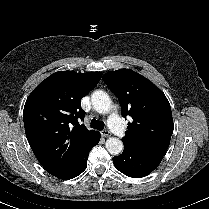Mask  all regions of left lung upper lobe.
<instances>
[{
    "label": "left lung upper lobe",
    "mask_w": 209,
    "mask_h": 209,
    "mask_svg": "<svg viewBox=\"0 0 209 209\" xmlns=\"http://www.w3.org/2000/svg\"><path fill=\"white\" fill-rule=\"evenodd\" d=\"M102 78L119 98L122 116L133 119L122 139L124 146L164 156L174 129L164 93L131 69L111 71Z\"/></svg>",
    "instance_id": "obj_1"
}]
</instances>
